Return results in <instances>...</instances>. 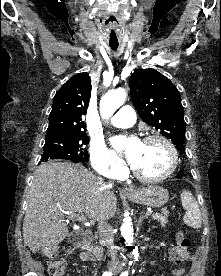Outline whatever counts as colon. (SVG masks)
Segmentation results:
<instances>
[{"label":"colon","mask_w":221,"mask_h":276,"mask_svg":"<svg viewBox=\"0 0 221 276\" xmlns=\"http://www.w3.org/2000/svg\"><path fill=\"white\" fill-rule=\"evenodd\" d=\"M177 247L182 249H188L190 246V240L183 231L176 233ZM43 255L47 259L48 273L50 276H65L67 265L63 260L56 259L58 254V248L56 246H45L42 249Z\"/></svg>","instance_id":"obj_1"}]
</instances>
